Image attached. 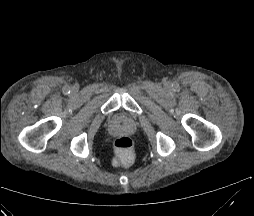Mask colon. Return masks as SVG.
I'll return each instance as SVG.
<instances>
[{"mask_svg":"<svg viewBox=\"0 0 254 216\" xmlns=\"http://www.w3.org/2000/svg\"><path fill=\"white\" fill-rule=\"evenodd\" d=\"M114 149L119 164L127 165L133 158V141L128 136H120L114 141Z\"/></svg>","mask_w":254,"mask_h":216,"instance_id":"obj_1","label":"colon"}]
</instances>
